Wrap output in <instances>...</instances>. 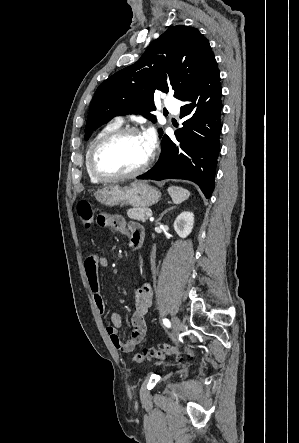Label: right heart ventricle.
Here are the masks:
<instances>
[{"mask_svg":"<svg viewBox=\"0 0 299 443\" xmlns=\"http://www.w3.org/2000/svg\"><path fill=\"white\" fill-rule=\"evenodd\" d=\"M121 126V122L114 120L111 121L107 124H105L91 139V141L89 142L87 149H86V153H85V168H86V172L88 174V177L90 179L91 182L93 183H99L101 182L100 180H98L97 178H95L91 171H90V167H89V155H90V151L92 149V147L94 146V144L105 134H107L108 132L117 129Z\"/></svg>","mask_w":299,"mask_h":443,"instance_id":"1","label":"right heart ventricle"}]
</instances>
